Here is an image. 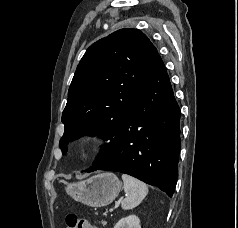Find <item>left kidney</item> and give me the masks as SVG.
Returning <instances> with one entry per match:
<instances>
[{"instance_id": "5707ae66", "label": "left kidney", "mask_w": 238, "mask_h": 228, "mask_svg": "<svg viewBox=\"0 0 238 228\" xmlns=\"http://www.w3.org/2000/svg\"><path fill=\"white\" fill-rule=\"evenodd\" d=\"M114 228H141L140 220L136 215H130L120 219Z\"/></svg>"}]
</instances>
